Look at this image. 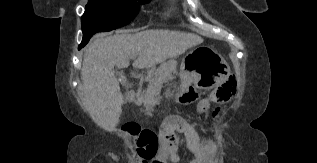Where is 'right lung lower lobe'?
Here are the masks:
<instances>
[{
  "instance_id": "obj_1",
  "label": "right lung lower lobe",
  "mask_w": 317,
  "mask_h": 163,
  "mask_svg": "<svg viewBox=\"0 0 317 163\" xmlns=\"http://www.w3.org/2000/svg\"><path fill=\"white\" fill-rule=\"evenodd\" d=\"M84 45H85L84 43H81L79 46V49H81Z\"/></svg>"
}]
</instances>
